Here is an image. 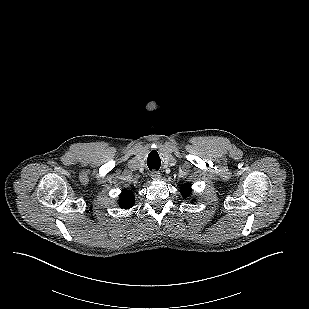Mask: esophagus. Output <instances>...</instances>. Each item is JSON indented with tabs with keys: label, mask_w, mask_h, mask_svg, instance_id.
<instances>
[{
	"label": "esophagus",
	"mask_w": 309,
	"mask_h": 309,
	"mask_svg": "<svg viewBox=\"0 0 309 309\" xmlns=\"http://www.w3.org/2000/svg\"><path fill=\"white\" fill-rule=\"evenodd\" d=\"M151 178H152L153 180H159V179L161 178L160 172H158V171H156V170L152 171V172H151Z\"/></svg>",
	"instance_id": "1"
}]
</instances>
